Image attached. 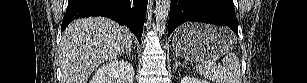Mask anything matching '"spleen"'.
Listing matches in <instances>:
<instances>
[{
    "instance_id": "1",
    "label": "spleen",
    "mask_w": 307,
    "mask_h": 83,
    "mask_svg": "<svg viewBox=\"0 0 307 83\" xmlns=\"http://www.w3.org/2000/svg\"><path fill=\"white\" fill-rule=\"evenodd\" d=\"M223 66H217L214 60H203L196 66L197 72L214 83H241L239 59L230 52L222 60Z\"/></svg>"
}]
</instances>
